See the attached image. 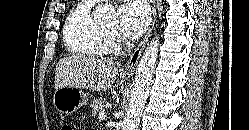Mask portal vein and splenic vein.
I'll use <instances>...</instances> for the list:
<instances>
[{"instance_id":"18ae733b","label":"portal vein and splenic vein","mask_w":249,"mask_h":130,"mask_svg":"<svg viewBox=\"0 0 249 130\" xmlns=\"http://www.w3.org/2000/svg\"><path fill=\"white\" fill-rule=\"evenodd\" d=\"M99 120H104L106 118V115L104 112H100L98 115Z\"/></svg>"}]
</instances>
